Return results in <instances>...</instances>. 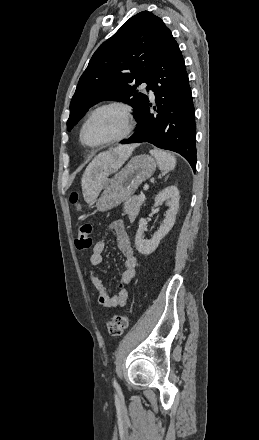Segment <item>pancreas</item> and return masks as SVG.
I'll return each instance as SVG.
<instances>
[{
	"label": "pancreas",
	"mask_w": 259,
	"mask_h": 440,
	"mask_svg": "<svg viewBox=\"0 0 259 440\" xmlns=\"http://www.w3.org/2000/svg\"><path fill=\"white\" fill-rule=\"evenodd\" d=\"M143 201H140L137 196H132L124 203L123 210L130 219H134L141 208Z\"/></svg>",
	"instance_id": "pancreas-1"
}]
</instances>
